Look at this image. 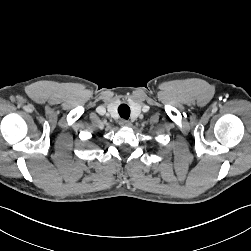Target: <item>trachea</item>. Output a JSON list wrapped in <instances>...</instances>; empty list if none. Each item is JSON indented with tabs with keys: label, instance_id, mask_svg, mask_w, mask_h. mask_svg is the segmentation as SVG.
I'll return each instance as SVG.
<instances>
[{
	"label": "trachea",
	"instance_id": "3493384b",
	"mask_svg": "<svg viewBox=\"0 0 251 251\" xmlns=\"http://www.w3.org/2000/svg\"><path fill=\"white\" fill-rule=\"evenodd\" d=\"M118 113L120 115L121 118H124V119H128L129 116H130V108L128 105L126 104H121L119 107H118Z\"/></svg>",
	"mask_w": 251,
	"mask_h": 251
}]
</instances>
